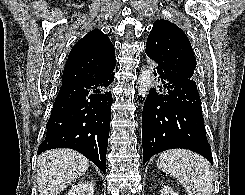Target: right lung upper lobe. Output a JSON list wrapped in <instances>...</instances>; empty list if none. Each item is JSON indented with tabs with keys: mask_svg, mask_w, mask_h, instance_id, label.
<instances>
[{
	"mask_svg": "<svg viewBox=\"0 0 245 195\" xmlns=\"http://www.w3.org/2000/svg\"><path fill=\"white\" fill-rule=\"evenodd\" d=\"M115 68V49L109 37L100 30H92L71 49L62 82L93 77L97 71Z\"/></svg>",
	"mask_w": 245,
	"mask_h": 195,
	"instance_id": "obj_1",
	"label": "right lung upper lobe"
}]
</instances>
